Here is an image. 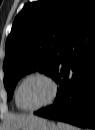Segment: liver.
Here are the masks:
<instances>
[{"label": "liver", "instance_id": "liver-1", "mask_svg": "<svg viewBox=\"0 0 95 130\" xmlns=\"http://www.w3.org/2000/svg\"><path fill=\"white\" fill-rule=\"evenodd\" d=\"M34 118L35 116L33 114L11 115L7 119V128L8 130H19Z\"/></svg>", "mask_w": 95, "mask_h": 130}]
</instances>
